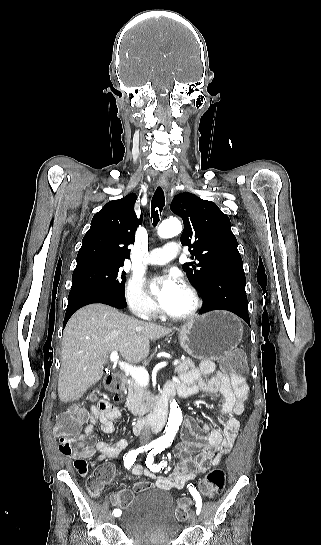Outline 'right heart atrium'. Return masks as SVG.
<instances>
[{
    "label": "right heart atrium",
    "instance_id": "obj_1",
    "mask_svg": "<svg viewBox=\"0 0 321 545\" xmlns=\"http://www.w3.org/2000/svg\"><path fill=\"white\" fill-rule=\"evenodd\" d=\"M124 298L129 310L137 317L152 320L157 316L156 304L147 296L137 280H129L124 288Z\"/></svg>",
    "mask_w": 321,
    "mask_h": 545
}]
</instances>
